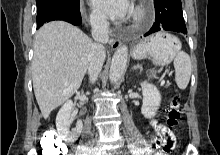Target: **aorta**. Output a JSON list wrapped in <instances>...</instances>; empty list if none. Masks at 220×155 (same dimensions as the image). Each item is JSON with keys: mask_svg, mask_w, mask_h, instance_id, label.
Instances as JSON below:
<instances>
[{"mask_svg": "<svg viewBox=\"0 0 220 155\" xmlns=\"http://www.w3.org/2000/svg\"><path fill=\"white\" fill-rule=\"evenodd\" d=\"M128 59V48L125 45L118 47L115 51L109 71V78L111 83H117L121 78L126 68Z\"/></svg>", "mask_w": 220, "mask_h": 155, "instance_id": "1", "label": "aorta"}]
</instances>
